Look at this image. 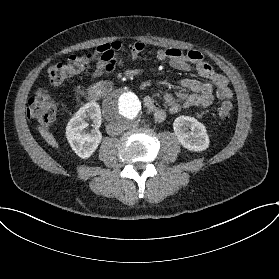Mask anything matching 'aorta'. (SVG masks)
I'll use <instances>...</instances> for the list:
<instances>
[{
  "instance_id": "1",
  "label": "aorta",
  "mask_w": 279,
  "mask_h": 279,
  "mask_svg": "<svg viewBox=\"0 0 279 279\" xmlns=\"http://www.w3.org/2000/svg\"><path fill=\"white\" fill-rule=\"evenodd\" d=\"M142 110L138 96L126 88H118L109 93L103 102V111L109 124L123 130L135 126Z\"/></svg>"
}]
</instances>
